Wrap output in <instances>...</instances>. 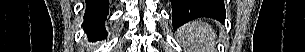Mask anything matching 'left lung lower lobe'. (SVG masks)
<instances>
[{"instance_id":"left-lung-lower-lobe-1","label":"left lung lower lobe","mask_w":305,"mask_h":52,"mask_svg":"<svg viewBox=\"0 0 305 52\" xmlns=\"http://www.w3.org/2000/svg\"><path fill=\"white\" fill-rule=\"evenodd\" d=\"M171 3L173 15L172 23L174 28L181 26L176 23V17L179 13L190 9H200L206 13V17H211L219 21H224L225 19L223 0H171Z\"/></svg>"}]
</instances>
